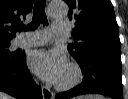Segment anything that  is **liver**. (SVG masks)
Listing matches in <instances>:
<instances>
[{
	"label": "liver",
	"instance_id": "6515ba94",
	"mask_svg": "<svg viewBox=\"0 0 128 99\" xmlns=\"http://www.w3.org/2000/svg\"><path fill=\"white\" fill-rule=\"evenodd\" d=\"M90 97H94V96H88L85 97V99H91ZM95 97H97V99H103L101 96H95ZM0 99H13V98L5 93L0 92Z\"/></svg>",
	"mask_w": 128,
	"mask_h": 99
}]
</instances>
